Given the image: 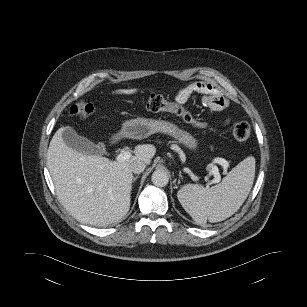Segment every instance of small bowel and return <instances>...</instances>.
I'll use <instances>...</instances> for the list:
<instances>
[{
	"instance_id": "obj_1",
	"label": "small bowel",
	"mask_w": 307,
	"mask_h": 307,
	"mask_svg": "<svg viewBox=\"0 0 307 307\" xmlns=\"http://www.w3.org/2000/svg\"><path fill=\"white\" fill-rule=\"evenodd\" d=\"M194 94H201L204 104L212 110L220 111L228 105L227 99L220 93L219 89L205 81L190 83L180 89L176 95V101L185 104Z\"/></svg>"
}]
</instances>
